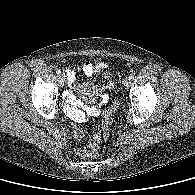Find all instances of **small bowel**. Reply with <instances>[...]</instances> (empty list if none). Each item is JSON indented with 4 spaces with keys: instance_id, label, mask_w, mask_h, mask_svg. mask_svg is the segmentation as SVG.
<instances>
[{
    "instance_id": "c3829d8e",
    "label": "small bowel",
    "mask_w": 195,
    "mask_h": 195,
    "mask_svg": "<svg viewBox=\"0 0 195 195\" xmlns=\"http://www.w3.org/2000/svg\"><path fill=\"white\" fill-rule=\"evenodd\" d=\"M108 65L104 62L92 64L90 62H85L77 70H82L88 77L97 75L100 70L107 68ZM68 86L70 90L64 93L67 105L65 107L66 114L74 122L81 123L84 122L87 116L95 117L100 114V109L95 106H86L80 100L76 99L71 90H78L82 94L87 95V84H79L76 81V71L74 69L67 70ZM108 100V95L103 93L101 95V102L106 103Z\"/></svg>"
}]
</instances>
